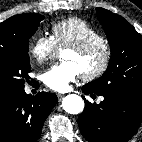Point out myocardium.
I'll return each mask as SVG.
<instances>
[{
	"label": "myocardium",
	"instance_id": "myocardium-1",
	"mask_svg": "<svg viewBox=\"0 0 142 142\" xmlns=\"http://www.w3.org/2000/svg\"><path fill=\"white\" fill-rule=\"evenodd\" d=\"M80 55H88L95 51L102 52V60L100 65L93 71L81 74L85 81H93L101 77L109 67L111 61V48L106 41H90L78 45L68 47Z\"/></svg>",
	"mask_w": 142,
	"mask_h": 142
}]
</instances>
